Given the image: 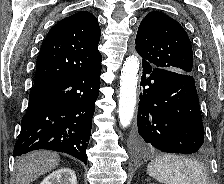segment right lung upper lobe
I'll list each match as a JSON object with an SVG mask.
<instances>
[{"mask_svg": "<svg viewBox=\"0 0 224 184\" xmlns=\"http://www.w3.org/2000/svg\"><path fill=\"white\" fill-rule=\"evenodd\" d=\"M100 35L98 20L90 12L81 11L59 21L41 45L34 84L99 68Z\"/></svg>", "mask_w": 224, "mask_h": 184, "instance_id": "right-lung-upper-lobe-1", "label": "right lung upper lobe"}]
</instances>
